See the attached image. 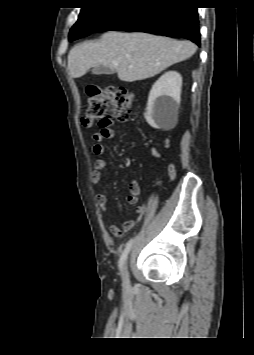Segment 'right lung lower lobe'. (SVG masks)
<instances>
[{"mask_svg": "<svg viewBox=\"0 0 254 355\" xmlns=\"http://www.w3.org/2000/svg\"><path fill=\"white\" fill-rule=\"evenodd\" d=\"M111 30L186 38L200 46L198 12L192 0H130L95 32Z\"/></svg>", "mask_w": 254, "mask_h": 355, "instance_id": "obj_1", "label": "right lung lower lobe"}]
</instances>
